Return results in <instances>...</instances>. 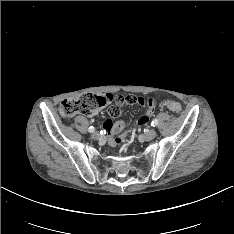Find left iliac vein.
Here are the masks:
<instances>
[{
	"label": "left iliac vein",
	"instance_id": "4c4485c4",
	"mask_svg": "<svg viewBox=\"0 0 234 234\" xmlns=\"http://www.w3.org/2000/svg\"><path fill=\"white\" fill-rule=\"evenodd\" d=\"M156 135H157L156 130L151 129L147 133H145L143 137L146 141H151L152 139L156 137Z\"/></svg>",
	"mask_w": 234,
	"mask_h": 234
}]
</instances>
